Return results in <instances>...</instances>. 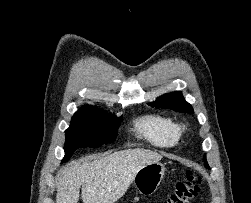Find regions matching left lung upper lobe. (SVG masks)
<instances>
[{
  "label": "left lung upper lobe",
  "mask_w": 251,
  "mask_h": 203,
  "mask_svg": "<svg viewBox=\"0 0 251 203\" xmlns=\"http://www.w3.org/2000/svg\"><path fill=\"white\" fill-rule=\"evenodd\" d=\"M149 105L153 107L173 109L178 112L193 113L192 106L185 101L182 93L179 91L160 96L159 98H157V100L150 103ZM203 161L205 162L204 165L209 168L206 161V155H204Z\"/></svg>",
  "instance_id": "1"
}]
</instances>
